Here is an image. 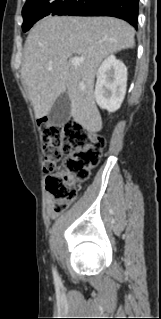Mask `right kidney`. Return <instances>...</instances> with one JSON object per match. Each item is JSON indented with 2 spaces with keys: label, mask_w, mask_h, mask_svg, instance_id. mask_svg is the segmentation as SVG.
<instances>
[{
  "label": "right kidney",
  "mask_w": 161,
  "mask_h": 319,
  "mask_svg": "<svg viewBox=\"0 0 161 319\" xmlns=\"http://www.w3.org/2000/svg\"><path fill=\"white\" fill-rule=\"evenodd\" d=\"M127 68L114 55L108 56L97 71L94 97L100 108L115 112L124 100Z\"/></svg>",
  "instance_id": "1"
}]
</instances>
